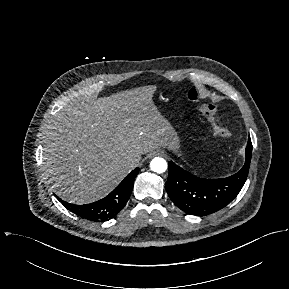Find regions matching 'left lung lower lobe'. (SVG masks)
<instances>
[{
    "label": "left lung lower lobe",
    "instance_id": "0a47b994",
    "mask_svg": "<svg viewBox=\"0 0 289 289\" xmlns=\"http://www.w3.org/2000/svg\"><path fill=\"white\" fill-rule=\"evenodd\" d=\"M252 143L248 140L244 166L234 175L220 179L198 178L169 162L166 191L175 205L191 215L204 216L228 205L242 189L249 171Z\"/></svg>",
    "mask_w": 289,
    "mask_h": 289
}]
</instances>
